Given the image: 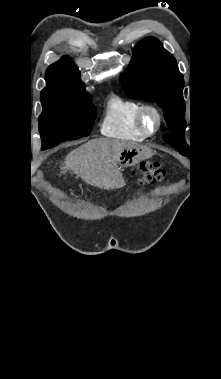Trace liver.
<instances>
[{"instance_id":"obj_1","label":"liver","mask_w":221,"mask_h":379,"mask_svg":"<svg viewBox=\"0 0 221 379\" xmlns=\"http://www.w3.org/2000/svg\"><path fill=\"white\" fill-rule=\"evenodd\" d=\"M133 142L98 138L71 151L61 167L62 173L71 171L87 184L102 189H115L123 186V178L118 169L121 152Z\"/></svg>"}]
</instances>
